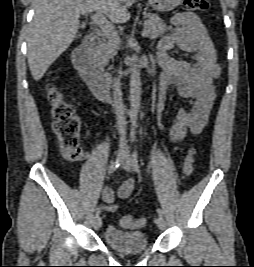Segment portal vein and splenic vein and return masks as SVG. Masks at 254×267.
<instances>
[{"mask_svg": "<svg viewBox=\"0 0 254 267\" xmlns=\"http://www.w3.org/2000/svg\"><path fill=\"white\" fill-rule=\"evenodd\" d=\"M94 23H96L102 30L103 34L110 39H115L117 41H120L119 36L117 32L114 30V27L111 25V23L106 19V17L100 13L95 12L91 16ZM142 36L146 37V31L143 30Z\"/></svg>", "mask_w": 254, "mask_h": 267, "instance_id": "18ae733b", "label": "portal vein and splenic vein"}]
</instances>
